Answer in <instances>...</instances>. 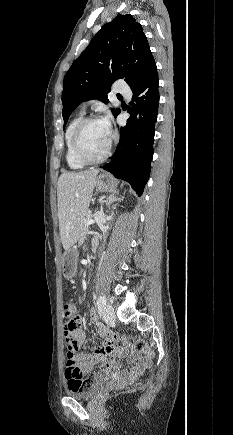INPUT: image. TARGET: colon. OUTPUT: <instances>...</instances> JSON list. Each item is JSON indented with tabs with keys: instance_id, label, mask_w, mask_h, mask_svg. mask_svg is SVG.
<instances>
[{
	"instance_id": "5ec220e1",
	"label": "colon",
	"mask_w": 233,
	"mask_h": 435,
	"mask_svg": "<svg viewBox=\"0 0 233 435\" xmlns=\"http://www.w3.org/2000/svg\"><path fill=\"white\" fill-rule=\"evenodd\" d=\"M65 315L68 317V320L64 326V338H65V347L64 353L68 366L74 367L78 372V381L74 385H70L71 389L74 390H85L87 389L93 382L90 379H82V375L84 373L83 369L78 365L77 359V342H78V324L80 322V317L71 307L70 303H66L64 305ZM118 342V338L111 332L108 333V338L105 342L104 348L105 351L111 352L115 349ZM124 344L133 345L135 350L146 354L148 356H152V352L149 347L145 343V341L141 339H133V338H124Z\"/></svg>"
}]
</instances>
